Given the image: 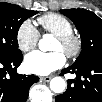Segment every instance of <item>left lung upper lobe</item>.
I'll list each match as a JSON object with an SVG mask.
<instances>
[{
	"label": "left lung upper lobe",
	"instance_id": "5c2ea615",
	"mask_svg": "<svg viewBox=\"0 0 102 102\" xmlns=\"http://www.w3.org/2000/svg\"><path fill=\"white\" fill-rule=\"evenodd\" d=\"M60 12L75 23L81 36L82 51L74 64L93 59L102 60V20L85 9H68Z\"/></svg>",
	"mask_w": 102,
	"mask_h": 102
}]
</instances>
